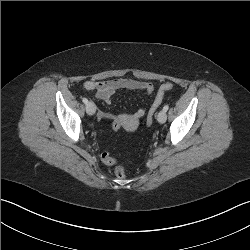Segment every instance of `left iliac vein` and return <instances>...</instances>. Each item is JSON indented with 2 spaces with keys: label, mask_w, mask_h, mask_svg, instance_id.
Masks as SVG:
<instances>
[{
  "label": "left iliac vein",
  "mask_w": 250,
  "mask_h": 250,
  "mask_svg": "<svg viewBox=\"0 0 250 250\" xmlns=\"http://www.w3.org/2000/svg\"><path fill=\"white\" fill-rule=\"evenodd\" d=\"M167 119V115H166V112L164 110H161L159 113H158V116H157V120L159 123H164Z\"/></svg>",
  "instance_id": "1"
}]
</instances>
